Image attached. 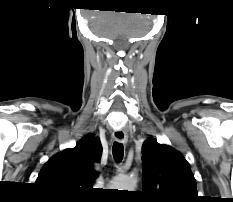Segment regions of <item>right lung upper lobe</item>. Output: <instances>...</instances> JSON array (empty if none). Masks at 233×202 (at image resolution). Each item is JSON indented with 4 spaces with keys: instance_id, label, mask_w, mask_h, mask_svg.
<instances>
[{
    "instance_id": "obj_1",
    "label": "right lung upper lobe",
    "mask_w": 233,
    "mask_h": 202,
    "mask_svg": "<svg viewBox=\"0 0 233 202\" xmlns=\"http://www.w3.org/2000/svg\"><path fill=\"white\" fill-rule=\"evenodd\" d=\"M100 142L92 134L82 138L73 149H66L41 169L36 183L59 196H80L90 190L98 177L93 163L99 161Z\"/></svg>"
}]
</instances>
